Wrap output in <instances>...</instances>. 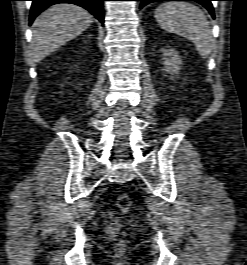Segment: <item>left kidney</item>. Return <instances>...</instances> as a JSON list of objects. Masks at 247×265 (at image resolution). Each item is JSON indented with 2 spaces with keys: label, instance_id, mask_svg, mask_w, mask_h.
Wrapping results in <instances>:
<instances>
[{
  "label": "left kidney",
  "instance_id": "5707ae66",
  "mask_svg": "<svg viewBox=\"0 0 247 265\" xmlns=\"http://www.w3.org/2000/svg\"><path fill=\"white\" fill-rule=\"evenodd\" d=\"M163 56L166 72L171 75L177 74L180 70V65L182 64L178 52L171 48H165L163 49Z\"/></svg>",
  "mask_w": 247,
  "mask_h": 265
}]
</instances>
